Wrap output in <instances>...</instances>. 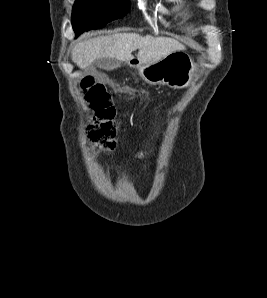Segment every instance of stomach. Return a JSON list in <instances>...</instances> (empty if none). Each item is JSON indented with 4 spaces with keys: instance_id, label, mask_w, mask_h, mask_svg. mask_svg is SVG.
I'll return each instance as SVG.
<instances>
[{
    "instance_id": "stomach-1",
    "label": "stomach",
    "mask_w": 267,
    "mask_h": 298,
    "mask_svg": "<svg viewBox=\"0 0 267 298\" xmlns=\"http://www.w3.org/2000/svg\"><path fill=\"white\" fill-rule=\"evenodd\" d=\"M140 76L148 83L163 84L174 89L188 87L195 74V65L184 52H173L162 60L153 63L136 65Z\"/></svg>"
}]
</instances>
